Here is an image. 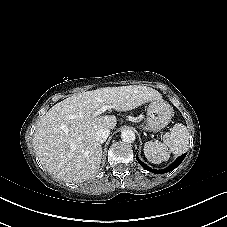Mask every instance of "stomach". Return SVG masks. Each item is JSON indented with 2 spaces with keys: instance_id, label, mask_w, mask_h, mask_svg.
<instances>
[{
  "instance_id": "stomach-1",
  "label": "stomach",
  "mask_w": 227,
  "mask_h": 227,
  "mask_svg": "<svg viewBox=\"0 0 227 227\" xmlns=\"http://www.w3.org/2000/svg\"><path fill=\"white\" fill-rule=\"evenodd\" d=\"M172 107L163 100H153L147 108L144 130L158 132L171 121Z\"/></svg>"
}]
</instances>
